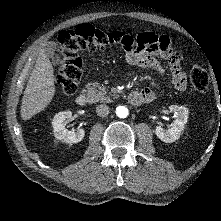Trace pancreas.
I'll return each mask as SVG.
<instances>
[{
    "mask_svg": "<svg viewBox=\"0 0 221 221\" xmlns=\"http://www.w3.org/2000/svg\"><path fill=\"white\" fill-rule=\"evenodd\" d=\"M88 95L90 97V102H102L108 103L110 102V97L114 96L115 93H108V89L104 85H100L98 82L92 83L89 82L86 85Z\"/></svg>",
    "mask_w": 221,
    "mask_h": 221,
    "instance_id": "1",
    "label": "pancreas"
}]
</instances>
